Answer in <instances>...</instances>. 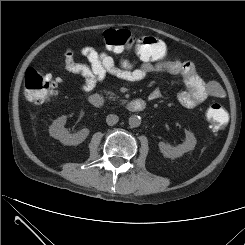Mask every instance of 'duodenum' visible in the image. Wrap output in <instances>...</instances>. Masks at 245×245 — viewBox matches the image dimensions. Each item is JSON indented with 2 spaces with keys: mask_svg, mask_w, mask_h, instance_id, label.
<instances>
[{
  "mask_svg": "<svg viewBox=\"0 0 245 245\" xmlns=\"http://www.w3.org/2000/svg\"><path fill=\"white\" fill-rule=\"evenodd\" d=\"M88 102L95 108H100L104 104L103 97L98 93H93L88 97ZM147 106V102L143 99H134L125 104V109L129 112H141Z\"/></svg>",
  "mask_w": 245,
  "mask_h": 245,
  "instance_id": "obj_1",
  "label": "duodenum"
}]
</instances>
